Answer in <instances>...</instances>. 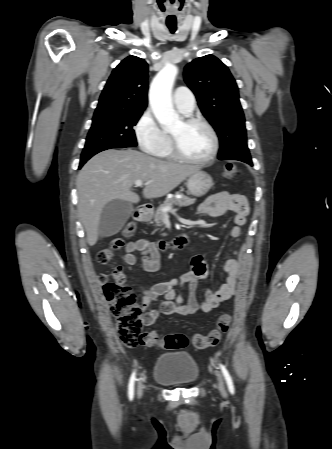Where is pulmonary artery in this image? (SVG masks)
Masks as SVG:
<instances>
[{
    "label": "pulmonary artery",
    "mask_w": 332,
    "mask_h": 449,
    "mask_svg": "<svg viewBox=\"0 0 332 449\" xmlns=\"http://www.w3.org/2000/svg\"><path fill=\"white\" fill-rule=\"evenodd\" d=\"M173 103L182 113H191L195 107V97L185 86L177 87L173 94Z\"/></svg>",
    "instance_id": "1"
}]
</instances>
